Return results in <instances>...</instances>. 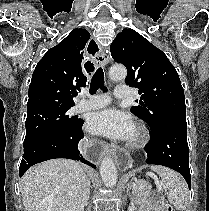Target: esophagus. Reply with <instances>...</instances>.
<instances>
[{
  "instance_id": "obj_1",
  "label": "esophagus",
  "mask_w": 209,
  "mask_h": 211,
  "mask_svg": "<svg viewBox=\"0 0 209 211\" xmlns=\"http://www.w3.org/2000/svg\"><path fill=\"white\" fill-rule=\"evenodd\" d=\"M89 52H85L86 61H95L96 65L106 66L111 61V55L108 51H97V45L92 43L89 45ZM85 75H94L95 67L93 64L83 65ZM85 156L87 163H99V156H105V152H110L113 156L114 163H117L119 171H126L130 166L129 159L130 151H118V147H112L104 144H84ZM113 161L112 159L110 160Z\"/></svg>"
}]
</instances>
